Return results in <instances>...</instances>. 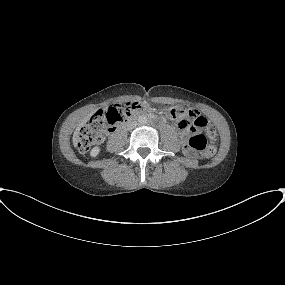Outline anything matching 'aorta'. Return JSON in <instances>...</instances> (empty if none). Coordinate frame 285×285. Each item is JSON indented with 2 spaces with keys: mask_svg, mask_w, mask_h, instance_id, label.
I'll list each match as a JSON object with an SVG mask.
<instances>
[{
  "mask_svg": "<svg viewBox=\"0 0 285 285\" xmlns=\"http://www.w3.org/2000/svg\"><path fill=\"white\" fill-rule=\"evenodd\" d=\"M139 123L140 124H146L147 123V118L145 116H140L139 117Z\"/></svg>",
  "mask_w": 285,
  "mask_h": 285,
  "instance_id": "obj_1",
  "label": "aorta"
}]
</instances>
